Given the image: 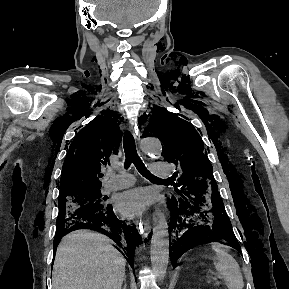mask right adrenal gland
<instances>
[{
    "mask_svg": "<svg viewBox=\"0 0 289 289\" xmlns=\"http://www.w3.org/2000/svg\"><path fill=\"white\" fill-rule=\"evenodd\" d=\"M122 289H127V284H126V276L124 277V285Z\"/></svg>",
    "mask_w": 289,
    "mask_h": 289,
    "instance_id": "right-adrenal-gland-1",
    "label": "right adrenal gland"
}]
</instances>
